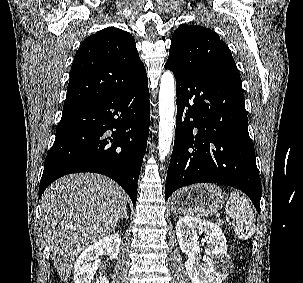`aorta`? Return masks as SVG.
<instances>
[{
  "label": "aorta",
  "mask_w": 303,
  "mask_h": 283,
  "mask_svg": "<svg viewBox=\"0 0 303 283\" xmlns=\"http://www.w3.org/2000/svg\"><path fill=\"white\" fill-rule=\"evenodd\" d=\"M175 85L174 77L170 71L163 73L159 89V139L158 156L162 162L171 150L174 130V105Z\"/></svg>",
  "instance_id": "1"
}]
</instances>
